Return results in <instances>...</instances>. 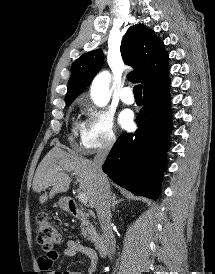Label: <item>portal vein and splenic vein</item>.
<instances>
[{
	"mask_svg": "<svg viewBox=\"0 0 215 274\" xmlns=\"http://www.w3.org/2000/svg\"><path fill=\"white\" fill-rule=\"evenodd\" d=\"M78 200L83 203V204H87L88 203V198L86 196V194L84 192H79L78 193Z\"/></svg>",
	"mask_w": 215,
	"mask_h": 274,
	"instance_id": "1",
	"label": "portal vein and splenic vein"
}]
</instances>
